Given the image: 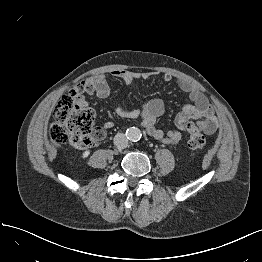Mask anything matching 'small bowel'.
Here are the masks:
<instances>
[{"label":"small bowel","instance_id":"c3829d8e","mask_svg":"<svg viewBox=\"0 0 262 262\" xmlns=\"http://www.w3.org/2000/svg\"><path fill=\"white\" fill-rule=\"evenodd\" d=\"M109 74L124 84H130L136 80H148L153 76L152 72L139 73L121 68L112 69ZM163 80L165 83H171L174 81V77L171 74H165ZM177 82L180 89L189 96L191 103L186 105L175 118L176 129L174 130L164 132L155 125L157 118L164 112V104L160 99L147 101L139 110H126L117 106L114 111L116 115L125 119L139 117L147 133L163 144H177L182 138V131L190 120L204 133H215L219 129V119L205 95L187 79L182 78ZM72 91L77 94L96 95L101 98L110 95L107 78L103 75L89 77L74 87ZM114 125L113 121L105 122L99 137H104L106 130L113 128Z\"/></svg>","mask_w":262,"mask_h":262}]
</instances>
